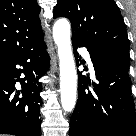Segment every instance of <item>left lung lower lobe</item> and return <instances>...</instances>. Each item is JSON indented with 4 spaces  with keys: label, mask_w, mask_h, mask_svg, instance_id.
I'll use <instances>...</instances> for the list:
<instances>
[{
    "label": "left lung lower lobe",
    "mask_w": 136,
    "mask_h": 136,
    "mask_svg": "<svg viewBox=\"0 0 136 136\" xmlns=\"http://www.w3.org/2000/svg\"><path fill=\"white\" fill-rule=\"evenodd\" d=\"M72 44L74 49H88L98 84L90 86V81L78 73V101L70 120L69 136H136L129 64L79 41Z\"/></svg>",
    "instance_id": "1"
}]
</instances>
